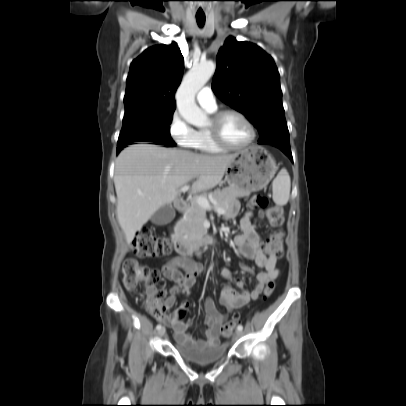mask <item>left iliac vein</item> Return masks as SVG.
Segmentation results:
<instances>
[{"mask_svg": "<svg viewBox=\"0 0 406 406\" xmlns=\"http://www.w3.org/2000/svg\"><path fill=\"white\" fill-rule=\"evenodd\" d=\"M243 334L242 330H237L235 333L236 338L241 337Z\"/></svg>", "mask_w": 406, "mask_h": 406, "instance_id": "1", "label": "left iliac vein"}]
</instances>
